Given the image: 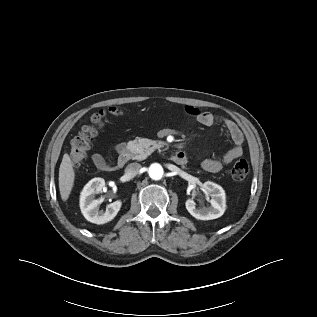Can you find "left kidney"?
I'll list each match as a JSON object with an SVG mask.
<instances>
[{
	"instance_id": "1",
	"label": "left kidney",
	"mask_w": 317,
	"mask_h": 317,
	"mask_svg": "<svg viewBox=\"0 0 317 317\" xmlns=\"http://www.w3.org/2000/svg\"><path fill=\"white\" fill-rule=\"evenodd\" d=\"M203 189L211 196V207L196 208L193 199H188L185 203L188 212L199 220H212L223 215L226 209V195L223 188L213 182L207 181L203 184Z\"/></svg>"
}]
</instances>
